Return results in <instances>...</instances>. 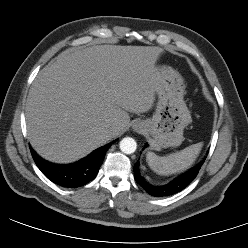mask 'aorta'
Listing matches in <instances>:
<instances>
[{"mask_svg":"<svg viewBox=\"0 0 248 248\" xmlns=\"http://www.w3.org/2000/svg\"><path fill=\"white\" fill-rule=\"evenodd\" d=\"M137 143L131 137L123 138L120 141V150L125 154H132L136 151Z\"/></svg>","mask_w":248,"mask_h":248,"instance_id":"aorta-1","label":"aorta"}]
</instances>
